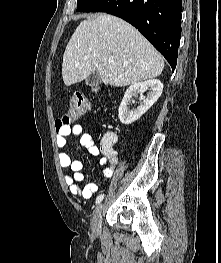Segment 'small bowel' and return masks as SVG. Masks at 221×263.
<instances>
[{
	"label": "small bowel",
	"mask_w": 221,
	"mask_h": 263,
	"mask_svg": "<svg viewBox=\"0 0 221 263\" xmlns=\"http://www.w3.org/2000/svg\"><path fill=\"white\" fill-rule=\"evenodd\" d=\"M97 133L101 134L98 144H96L92 134L83 131L81 125L67 126L58 131L56 145L58 148H64L67 144L68 136H78L81 146L86 148L91 155L99 158V163L102 166L99 170L101 175L105 178H111L118 159L117 151L114 149L118 139L117 134L113 131L101 133L99 130H97ZM58 161L61 167L67 169L64 173V182L72 195L88 200L98 191L97 184L93 182L87 183L83 188L79 186V183L84 180V174L82 173L83 164L80 160L72 159L66 152H60Z\"/></svg>",
	"instance_id": "1"
}]
</instances>
